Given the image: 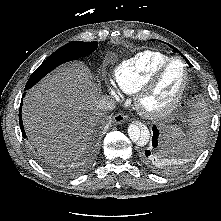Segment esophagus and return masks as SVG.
<instances>
[{"instance_id": "1", "label": "esophagus", "mask_w": 221, "mask_h": 221, "mask_svg": "<svg viewBox=\"0 0 221 221\" xmlns=\"http://www.w3.org/2000/svg\"><path fill=\"white\" fill-rule=\"evenodd\" d=\"M128 120V117L123 113H118L113 117V121L116 124H121Z\"/></svg>"}]
</instances>
